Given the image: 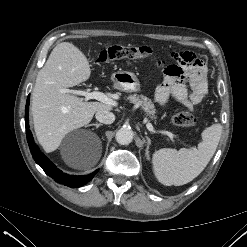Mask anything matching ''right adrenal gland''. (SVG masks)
Segmentation results:
<instances>
[{
	"label": "right adrenal gland",
	"instance_id": "obj_1",
	"mask_svg": "<svg viewBox=\"0 0 247 247\" xmlns=\"http://www.w3.org/2000/svg\"><path fill=\"white\" fill-rule=\"evenodd\" d=\"M103 124L101 123H94V124H89L88 126H95L96 128L102 126Z\"/></svg>",
	"mask_w": 247,
	"mask_h": 247
}]
</instances>
